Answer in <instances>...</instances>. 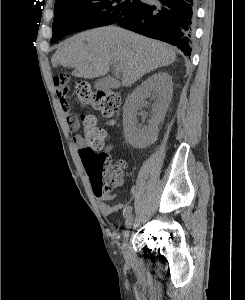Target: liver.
Wrapping results in <instances>:
<instances>
[{"instance_id": "1", "label": "liver", "mask_w": 245, "mask_h": 300, "mask_svg": "<svg viewBox=\"0 0 245 300\" xmlns=\"http://www.w3.org/2000/svg\"><path fill=\"white\" fill-rule=\"evenodd\" d=\"M175 60L176 53L167 44L107 26L69 38L51 61L53 67L74 68L72 75L85 79L106 75L113 64L122 73V85L128 87L143 75Z\"/></svg>"}]
</instances>
